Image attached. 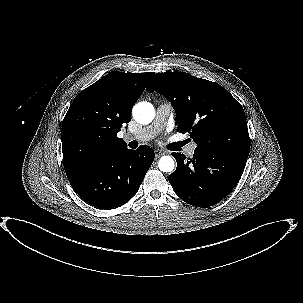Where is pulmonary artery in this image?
I'll return each instance as SVG.
<instances>
[{"label": "pulmonary artery", "mask_w": 303, "mask_h": 303, "mask_svg": "<svg viewBox=\"0 0 303 303\" xmlns=\"http://www.w3.org/2000/svg\"><path fill=\"white\" fill-rule=\"evenodd\" d=\"M171 113V105L169 103H160L156 110V115L153 123L147 127L140 129L134 134L127 135L125 139L127 141H137V142H146L151 140L160 130H162ZM197 144L191 143L185 149V152L188 156H193L195 154Z\"/></svg>", "instance_id": "1"}]
</instances>
